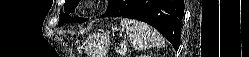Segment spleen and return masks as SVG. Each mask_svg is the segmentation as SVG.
Wrapping results in <instances>:
<instances>
[{
  "label": "spleen",
  "instance_id": "3e777b00",
  "mask_svg": "<svg viewBox=\"0 0 249 57\" xmlns=\"http://www.w3.org/2000/svg\"><path fill=\"white\" fill-rule=\"evenodd\" d=\"M120 25L122 29H126V34L132 40L133 47L136 50L161 47L165 43L161 34L144 22L123 18Z\"/></svg>",
  "mask_w": 249,
  "mask_h": 57
}]
</instances>
